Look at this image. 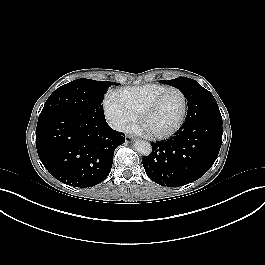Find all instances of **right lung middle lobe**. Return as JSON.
<instances>
[{
  "instance_id": "dd1d6c3e",
  "label": "right lung middle lobe",
  "mask_w": 265,
  "mask_h": 265,
  "mask_svg": "<svg viewBox=\"0 0 265 265\" xmlns=\"http://www.w3.org/2000/svg\"><path fill=\"white\" fill-rule=\"evenodd\" d=\"M110 81L77 79L57 88L47 99L42 112L68 111L105 117L103 99Z\"/></svg>"
}]
</instances>
